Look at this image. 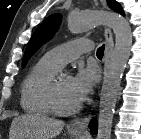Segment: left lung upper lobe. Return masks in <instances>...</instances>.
<instances>
[{
  "instance_id": "obj_1",
  "label": "left lung upper lobe",
  "mask_w": 141,
  "mask_h": 139,
  "mask_svg": "<svg viewBox=\"0 0 141 139\" xmlns=\"http://www.w3.org/2000/svg\"><path fill=\"white\" fill-rule=\"evenodd\" d=\"M111 9L124 15L121 5L115 0H107ZM61 23V15L53 14L47 17L33 33L25 50L22 67L24 68L31 56L48 40H50L57 31Z\"/></svg>"
}]
</instances>
